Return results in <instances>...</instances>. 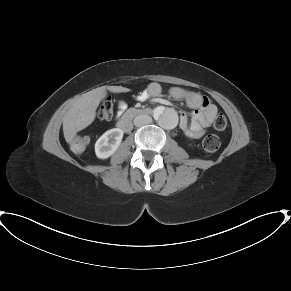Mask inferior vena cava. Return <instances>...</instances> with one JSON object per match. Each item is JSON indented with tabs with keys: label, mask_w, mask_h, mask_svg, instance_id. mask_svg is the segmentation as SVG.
Segmentation results:
<instances>
[{
	"label": "inferior vena cava",
	"mask_w": 291,
	"mask_h": 291,
	"mask_svg": "<svg viewBox=\"0 0 291 291\" xmlns=\"http://www.w3.org/2000/svg\"><path fill=\"white\" fill-rule=\"evenodd\" d=\"M152 122V118L147 114H140L134 119V125L140 127Z\"/></svg>",
	"instance_id": "602c4592"
}]
</instances>
